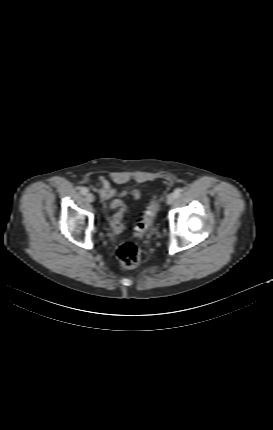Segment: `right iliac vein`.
<instances>
[{
  "instance_id": "right-iliac-vein-1",
  "label": "right iliac vein",
  "mask_w": 273,
  "mask_h": 430,
  "mask_svg": "<svg viewBox=\"0 0 273 430\" xmlns=\"http://www.w3.org/2000/svg\"><path fill=\"white\" fill-rule=\"evenodd\" d=\"M86 200L91 203L95 200V197L92 193H87L86 194Z\"/></svg>"
}]
</instances>
